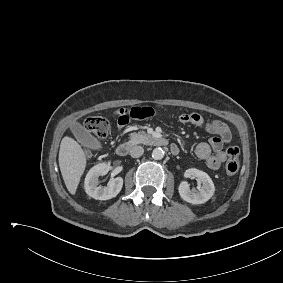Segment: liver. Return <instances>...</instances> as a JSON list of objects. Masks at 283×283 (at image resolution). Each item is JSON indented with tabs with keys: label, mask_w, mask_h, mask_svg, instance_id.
I'll return each instance as SVG.
<instances>
[{
	"label": "liver",
	"mask_w": 283,
	"mask_h": 283,
	"mask_svg": "<svg viewBox=\"0 0 283 283\" xmlns=\"http://www.w3.org/2000/svg\"><path fill=\"white\" fill-rule=\"evenodd\" d=\"M59 167L68 191L74 195L86 167V155L78 142L69 136L60 144Z\"/></svg>",
	"instance_id": "liver-1"
}]
</instances>
